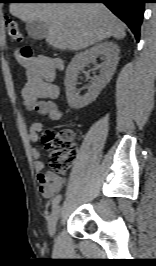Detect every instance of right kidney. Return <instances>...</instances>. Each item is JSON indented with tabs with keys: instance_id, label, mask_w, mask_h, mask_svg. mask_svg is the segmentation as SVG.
<instances>
[{
	"instance_id": "right-kidney-1",
	"label": "right kidney",
	"mask_w": 156,
	"mask_h": 266,
	"mask_svg": "<svg viewBox=\"0 0 156 266\" xmlns=\"http://www.w3.org/2000/svg\"><path fill=\"white\" fill-rule=\"evenodd\" d=\"M119 47L112 41H104L83 52L77 53L66 70L65 87L68 104L73 109H81L92 103L100 94L102 89L111 80L119 61ZM104 60L100 68V74L95 77L88 87L85 95L80 96L76 89L78 75L90 63H96V58Z\"/></svg>"
}]
</instances>
